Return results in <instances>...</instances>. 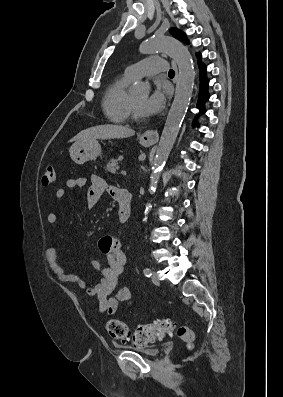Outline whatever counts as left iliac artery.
<instances>
[{"mask_svg":"<svg viewBox=\"0 0 283 397\" xmlns=\"http://www.w3.org/2000/svg\"><path fill=\"white\" fill-rule=\"evenodd\" d=\"M144 275L146 277H150L152 275L151 270L149 268H145L144 269Z\"/></svg>","mask_w":283,"mask_h":397,"instance_id":"44dca946","label":"left iliac artery"}]
</instances>
